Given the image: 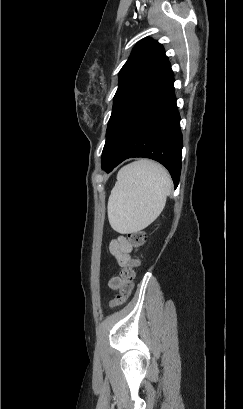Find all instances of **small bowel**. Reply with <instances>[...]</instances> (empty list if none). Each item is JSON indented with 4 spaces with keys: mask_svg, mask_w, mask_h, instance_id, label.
<instances>
[{
    "mask_svg": "<svg viewBox=\"0 0 243 409\" xmlns=\"http://www.w3.org/2000/svg\"><path fill=\"white\" fill-rule=\"evenodd\" d=\"M110 253L115 257L120 266H125L130 258V252L132 251L131 244L124 236H120L115 240H112L109 245ZM120 278L113 276L109 279V287L116 289L119 287Z\"/></svg>",
    "mask_w": 243,
    "mask_h": 409,
    "instance_id": "c3829d8e",
    "label": "small bowel"
}]
</instances>
